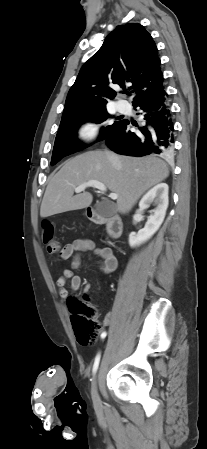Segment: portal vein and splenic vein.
Returning <instances> with one entry per match:
<instances>
[{
	"mask_svg": "<svg viewBox=\"0 0 207 449\" xmlns=\"http://www.w3.org/2000/svg\"><path fill=\"white\" fill-rule=\"evenodd\" d=\"M88 187H94V188H96V189H98V190H100V191H102V192H105V191H106V186H105L102 182H99V181H96V180H90V181L85 182V183L79 185L78 187H76V188H75V192H76V193H80V192L84 191V190H85L86 188H88ZM109 197H110L111 199H114V200H115V199L118 198V195L115 194V193H111V194L109 195Z\"/></svg>",
	"mask_w": 207,
	"mask_h": 449,
	"instance_id": "1",
	"label": "portal vein and splenic vein"
}]
</instances>
